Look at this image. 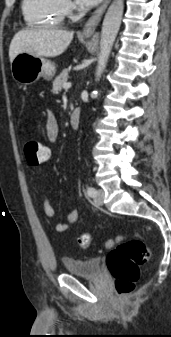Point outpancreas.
<instances>
[{"mask_svg": "<svg viewBox=\"0 0 171 337\" xmlns=\"http://www.w3.org/2000/svg\"><path fill=\"white\" fill-rule=\"evenodd\" d=\"M67 79H68V70L64 69L62 73H60V75L57 76L53 81L52 92L54 94H58L62 90L63 85L66 83Z\"/></svg>", "mask_w": 171, "mask_h": 337, "instance_id": "obj_1", "label": "pancreas"}]
</instances>
